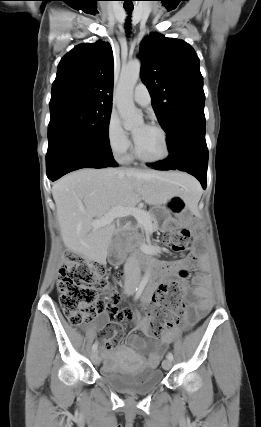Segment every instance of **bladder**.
<instances>
[{
  "mask_svg": "<svg viewBox=\"0 0 261 427\" xmlns=\"http://www.w3.org/2000/svg\"><path fill=\"white\" fill-rule=\"evenodd\" d=\"M101 378L113 388L127 394H143L154 390L163 380L160 369L137 371L123 365L118 357H108L101 370Z\"/></svg>",
  "mask_w": 261,
  "mask_h": 427,
  "instance_id": "1",
  "label": "bladder"
}]
</instances>
